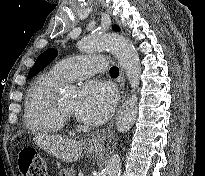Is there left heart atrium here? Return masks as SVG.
I'll list each match as a JSON object with an SVG mask.
<instances>
[{"mask_svg":"<svg viewBox=\"0 0 205 176\" xmlns=\"http://www.w3.org/2000/svg\"><path fill=\"white\" fill-rule=\"evenodd\" d=\"M116 103L115 90L107 83L91 80L83 84L76 103V114L85 122H105Z\"/></svg>","mask_w":205,"mask_h":176,"instance_id":"obj_1","label":"left heart atrium"}]
</instances>
